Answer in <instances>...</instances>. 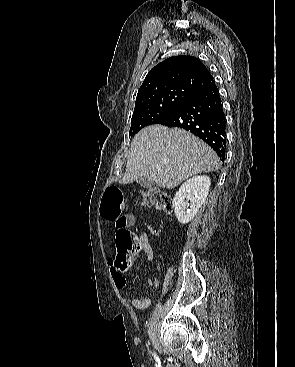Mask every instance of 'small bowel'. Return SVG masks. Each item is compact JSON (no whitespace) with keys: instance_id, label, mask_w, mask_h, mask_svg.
<instances>
[{"instance_id":"1","label":"small bowel","mask_w":295,"mask_h":367,"mask_svg":"<svg viewBox=\"0 0 295 367\" xmlns=\"http://www.w3.org/2000/svg\"><path fill=\"white\" fill-rule=\"evenodd\" d=\"M135 224V216L133 214H126L124 216H122L121 220L119 222H115V230H116V237H117V233L121 230V229H128L130 227H132ZM142 246L144 247L148 259L149 261L153 262L154 261V255L153 252L148 244L147 238L143 237L141 240ZM109 266H110V272H111V276L113 278V281L116 285V287L123 291L127 285V279L124 276L123 272H121L117 265L116 262L111 259L109 260ZM147 284L149 286H154V287H158L159 286V280L157 278H153V279H148L147 280ZM123 296L126 299V301L135 309L138 310H144L147 309L150 304H151V300L149 298H142V299H138V298H133L130 297L129 295H127L126 293L123 292Z\"/></svg>"}]
</instances>
